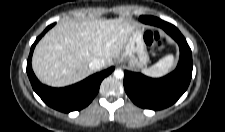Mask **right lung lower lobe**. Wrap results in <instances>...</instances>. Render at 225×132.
Wrapping results in <instances>:
<instances>
[{
  "label": "right lung lower lobe",
  "instance_id": "98d812e1",
  "mask_svg": "<svg viewBox=\"0 0 225 132\" xmlns=\"http://www.w3.org/2000/svg\"><path fill=\"white\" fill-rule=\"evenodd\" d=\"M53 26L54 24L49 25L32 45L27 61V74L34 91L48 106L67 113L81 110L91 103L99 91L102 80L114 70V67L96 73L79 83L64 88H52L41 84L32 71L31 58L36 43Z\"/></svg>",
  "mask_w": 225,
  "mask_h": 132
}]
</instances>
